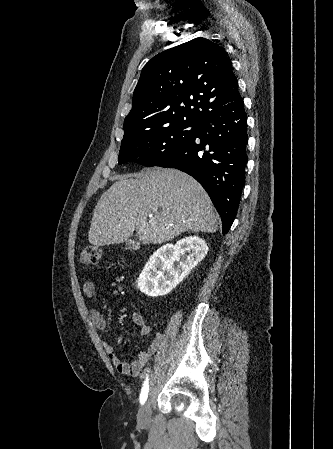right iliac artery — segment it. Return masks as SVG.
I'll return each mask as SVG.
<instances>
[{
	"instance_id": "1",
	"label": "right iliac artery",
	"mask_w": 333,
	"mask_h": 449,
	"mask_svg": "<svg viewBox=\"0 0 333 449\" xmlns=\"http://www.w3.org/2000/svg\"><path fill=\"white\" fill-rule=\"evenodd\" d=\"M148 391H149V382H148V376L146 378V380L144 381L141 393H140V403L144 404L147 396H148Z\"/></svg>"
}]
</instances>
